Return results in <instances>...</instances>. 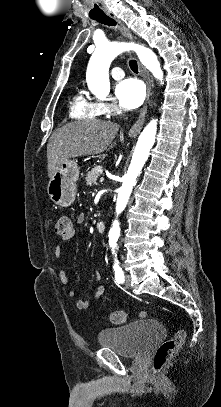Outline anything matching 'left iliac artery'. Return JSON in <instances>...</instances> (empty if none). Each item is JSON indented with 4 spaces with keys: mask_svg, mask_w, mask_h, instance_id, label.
I'll list each match as a JSON object with an SVG mask.
<instances>
[{
    "mask_svg": "<svg viewBox=\"0 0 221 407\" xmlns=\"http://www.w3.org/2000/svg\"><path fill=\"white\" fill-rule=\"evenodd\" d=\"M115 271V280L118 284H122L124 282V272L122 268L118 264H114L113 266Z\"/></svg>",
    "mask_w": 221,
    "mask_h": 407,
    "instance_id": "44dca946",
    "label": "left iliac artery"
}]
</instances>
